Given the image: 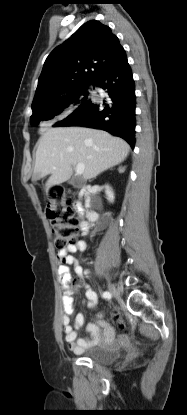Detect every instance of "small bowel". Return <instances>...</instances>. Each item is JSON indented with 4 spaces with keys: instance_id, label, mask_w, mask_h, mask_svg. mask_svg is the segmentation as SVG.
<instances>
[{
    "instance_id": "1",
    "label": "small bowel",
    "mask_w": 187,
    "mask_h": 415,
    "mask_svg": "<svg viewBox=\"0 0 187 415\" xmlns=\"http://www.w3.org/2000/svg\"><path fill=\"white\" fill-rule=\"evenodd\" d=\"M85 248L86 243L80 240L57 252L58 259L63 262L58 268L60 283L64 290L62 298L64 310V315L62 317L63 330L68 347L75 353H82L84 351L105 346H113L123 339L122 337L119 339L115 338L113 327L103 320L101 313L97 314L95 323H90L87 326L88 337L77 338L76 330L80 329L85 323V316L83 313H78L75 316L73 324L70 322V315L74 311L75 288L71 285L72 275L69 265L74 264V271L80 278L79 284L85 288L86 299L84 303L92 309L95 308L97 304V295L95 291L83 279V268L76 264L73 256L70 255V253L76 251H83Z\"/></svg>"
}]
</instances>
